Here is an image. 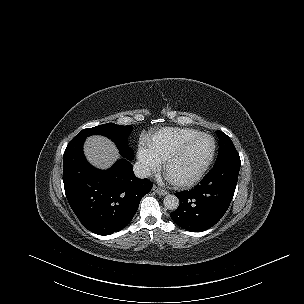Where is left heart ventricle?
<instances>
[{
  "label": "left heart ventricle",
  "instance_id": "obj_1",
  "mask_svg": "<svg viewBox=\"0 0 304 304\" xmlns=\"http://www.w3.org/2000/svg\"><path fill=\"white\" fill-rule=\"evenodd\" d=\"M212 151V140L202 138L191 145L170 166L169 176L173 180L185 179L196 174Z\"/></svg>",
  "mask_w": 304,
  "mask_h": 304
}]
</instances>
